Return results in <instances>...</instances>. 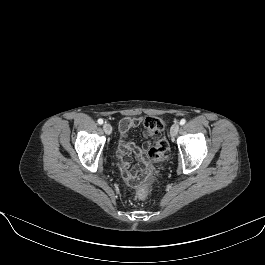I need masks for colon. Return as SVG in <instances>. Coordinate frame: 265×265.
Here are the masks:
<instances>
[{
	"label": "colon",
	"mask_w": 265,
	"mask_h": 265,
	"mask_svg": "<svg viewBox=\"0 0 265 265\" xmlns=\"http://www.w3.org/2000/svg\"><path fill=\"white\" fill-rule=\"evenodd\" d=\"M143 125L153 138V145L148 149V157L157 161L164 160L169 150V143L161 135L164 129L163 121L160 118L150 116L143 119ZM131 184L139 187L138 195L140 198H145L148 195L149 189L147 187L139 186L135 182Z\"/></svg>",
	"instance_id": "obj_1"
}]
</instances>
